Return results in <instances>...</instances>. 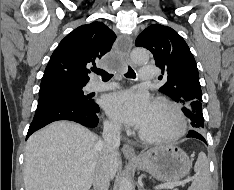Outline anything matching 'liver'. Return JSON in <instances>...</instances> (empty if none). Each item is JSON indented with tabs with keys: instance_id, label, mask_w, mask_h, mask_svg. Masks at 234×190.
Instances as JSON below:
<instances>
[{
	"instance_id": "liver-1",
	"label": "liver",
	"mask_w": 234,
	"mask_h": 190,
	"mask_svg": "<svg viewBox=\"0 0 234 190\" xmlns=\"http://www.w3.org/2000/svg\"><path fill=\"white\" fill-rule=\"evenodd\" d=\"M102 141L89 129L56 121L32 134L25 148V190H90ZM111 157V178L119 167Z\"/></svg>"
}]
</instances>
